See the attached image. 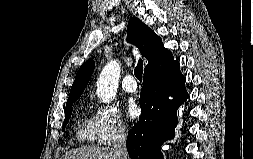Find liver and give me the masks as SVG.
Here are the masks:
<instances>
[{
	"instance_id": "1",
	"label": "liver",
	"mask_w": 253,
	"mask_h": 159,
	"mask_svg": "<svg viewBox=\"0 0 253 159\" xmlns=\"http://www.w3.org/2000/svg\"><path fill=\"white\" fill-rule=\"evenodd\" d=\"M60 159H120L112 148L83 146L66 152Z\"/></svg>"
}]
</instances>
